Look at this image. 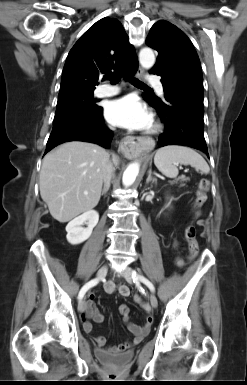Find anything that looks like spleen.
Instances as JSON below:
<instances>
[{"label": "spleen", "mask_w": 247, "mask_h": 385, "mask_svg": "<svg viewBox=\"0 0 247 385\" xmlns=\"http://www.w3.org/2000/svg\"><path fill=\"white\" fill-rule=\"evenodd\" d=\"M190 165L202 174H208L210 168L205 159L195 150L187 146L168 145L157 150L154 164L166 177L175 178L178 175L177 165Z\"/></svg>", "instance_id": "spleen-1"}]
</instances>
